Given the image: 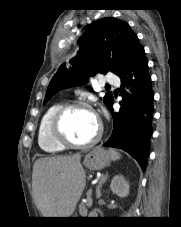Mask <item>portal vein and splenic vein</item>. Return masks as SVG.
<instances>
[{
	"label": "portal vein and splenic vein",
	"instance_id": "portal-vein-and-splenic-vein-1",
	"mask_svg": "<svg viewBox=\"0 0 181 227\" xmlns=\"http://www.w3.org/2000/svg\"><path fill=\"white\" fill-rule=\"evenodd\" d=\"M87 200H88V206L91 207L93 202H92V197H91V192L87 193Z\"/></svg>",
	"mask_w": 181,
	"mask_h": 227
}]
</instances>
